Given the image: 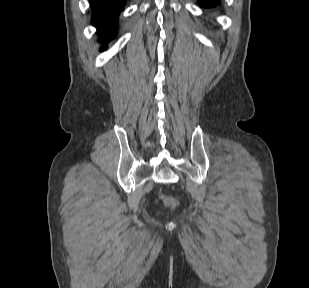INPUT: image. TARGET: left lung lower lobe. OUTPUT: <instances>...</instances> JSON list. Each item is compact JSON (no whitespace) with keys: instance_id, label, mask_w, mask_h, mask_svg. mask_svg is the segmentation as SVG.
I'll list each match as a JSON object with an SVG mask.
<instances>
[{"instance_id":"0a47b994","label":"left lung lower lobe","mask_w":309,"mask_h":288,"mask_svg":"<svg viewBox=\"0 0 309 288\" xmlns=\"http://www.w3.org/2000/svg\"><path fill=\"white\" fill-rule=\"evenodd\" d=\"M219 1L220 0H198L199 4L206 8L216 6L219 3Z\"/></svg>"}]
</instances>
